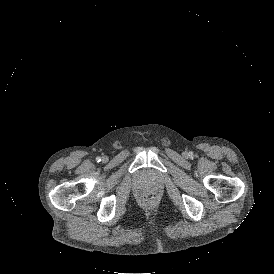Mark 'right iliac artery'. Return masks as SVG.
<instances>
[{
  "label": "right iliac artery",
  "instance_id": "right-iliac-artery-1",
  "mask_svg": "<svg viewBox=\"0 0 274 274\" xmlns=\"http://www.w3.org/2000/svg\"><path fill=\"white\" fill-rule=\"evenodd\" d=\"M96 161H97V162H100V161H101V157H97V158H96Z\"/></svg>",
  "mask_w": 274,
  "mask_h": 274
}]
</instances>
